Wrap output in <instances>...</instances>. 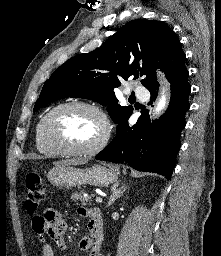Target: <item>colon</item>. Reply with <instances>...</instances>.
<instances>
[{
	"instance_id": "5ec220e1",
	"label": "colon",
	"mask_w": 221,
	"mask_h": 256,
	"mask_svg": "<svg viewBox=\"0 0 221 256\" xmlns=\"http://www.w3.org/2000/svg\"><path fill=\"white\" fill-rule=\"evenodd\" d=\"M26 198L25 208L28 213H34L45 200L46 189L40 175L37 172H29L25 178Z\"/></svg>"
}]
</instances>
